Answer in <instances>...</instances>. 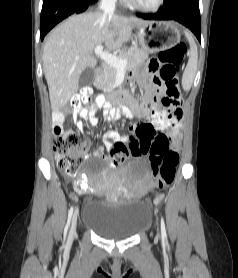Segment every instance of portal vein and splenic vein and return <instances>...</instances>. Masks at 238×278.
<instances>
[{
    "mask_svg": "<svg viewBox=\"0 0 238 278\" xmlns=\"http://www.w3.org/2000/svg\"><path fill=\"white\" fill-rule=\"evenodd\" d=\"M95 55L100 57L105 63L116 68L117 70H124L127 65V60H122L115 55L103 51V46H97L94 50Z\"/></svg>",
    "mask_w": 238,
    "mask_h": 278,
    "instance_id": "1",
    "label": "portal vein and splenic vein"
}]
</instances>
